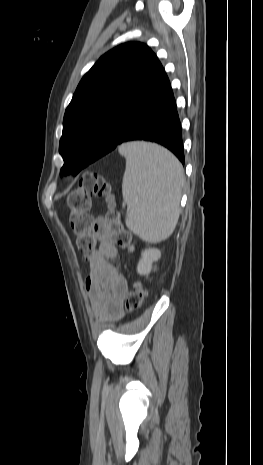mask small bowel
Instances as JSON below:
<instances>
[{
	"mask_svg": "<svg viewBox=\"0 0 263 465\" xmlns=\"http://www.w3.org/2000/svg\"><path fill=\"white\" fill-rule=\"evenodd\" d=\"M96 237L99 245L91 255L90 271L85 283L97 320L107 322L121 316L128 286L124 274L110 262L117 256V248L111 243L107 229L99 227Z\"/></svg>",
	"mask_w": 263,
	"mask_h": 465,
	"instance_id": "1",
	"label": "small bowel"
}]
</instances>
